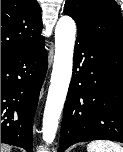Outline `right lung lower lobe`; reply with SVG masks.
Instances as JSON below:
<instances>
[{
    "label": "right lung lower lobe",
    "instance_id": "right-lung-lower-lobe-1",
    "mask_svg": "<svg viewBox=\"0 0 123 152\" xmlns=\"http://www.w3.org/2000/svg\"><path fill=\"white\" fill-rule=\"evenodd\" d=\"M46 69L43 37L1 54V143L32 152L33 119Z\"/></svg>",
    "mask_w": 123,
    "mask_h": 152
}]
</instances>
